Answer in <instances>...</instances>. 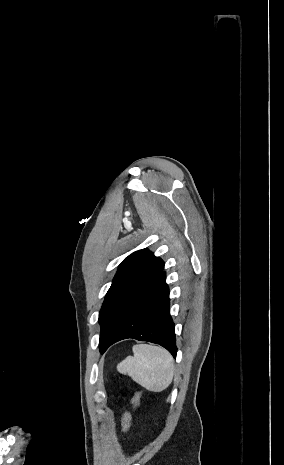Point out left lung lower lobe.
Here are the masks:
<instances>
[{
  "label": "left lung lower lobe",
  "instance_id": "obj_1",
  "mask_svg": "<svg viewBox=\"0 0 284 465\" xmlns=\"http://www.w3.org/2000/svg\"><path fill=\"white\" fill-rule=\"evenodd\" d=\"M127 338L159 344L176 358L174 323L164 271L120 311L103 341L101 354L112 344Z\"/></svg>",
  "mask_w": 284,
  "mask_h": 465
}]
</instances>
